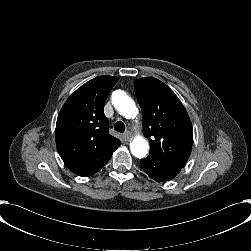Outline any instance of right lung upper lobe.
I'll return each mask as SVG.
<instances>
[{"mask_svg": "<svg viewBox=\"0 0 251 251\" xmlns=\"http://www.w3.org/2000/svg\"><path fill=\"white\" fill-rule=\"evenodd\" d=\"M117 77L98 76L79 87L63 105L56 123L57 150L75 174L98 172L121 142L109 134L104 103Z\"/></svg>", "mask_w": 251, "mask_h": 251, "instance_id": "1", "label": "right lung upper lobe"}]
</instances>
